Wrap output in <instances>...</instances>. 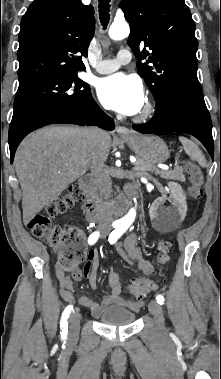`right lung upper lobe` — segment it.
<instances>
[{
    "label": "right lung upper lobe",
    "instance_id": "obj_1",
    "mask_svg": "<svg viewBox=\"0 0 221 379\" xmlns=\"http://www.w3.org/2000/svg\"><path fill=\"white\" fill-rule=\"evenodd\" d=\"M95 30L94 10L81 0H35L21 20L19 82L85 70L82 56Z\"/></svg>",
    "mask_w": 221,
    "mask_h": 379
}]
</instances>
